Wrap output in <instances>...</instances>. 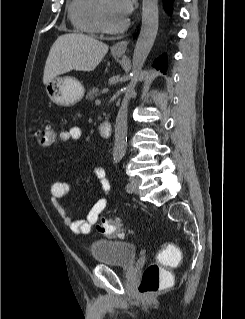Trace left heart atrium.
Returning <instances> with one entry per match:
<instances>
[{
    "mask_svg": "<svg viewBox=\"0 0 245 319\" xmlns=\"http://www.w3.org/2000/svg\"><path fill=\"white\" fill-rule=\"evenodd\" d=\"M115 14L122 20H126L132 13L135 0H113Z\"/></svg>",
    "mask_w": 245,
    "mask_h": 319,
    "instance_id": "obj_1",
    "label": "left heart atrium"
}]
</instances>
